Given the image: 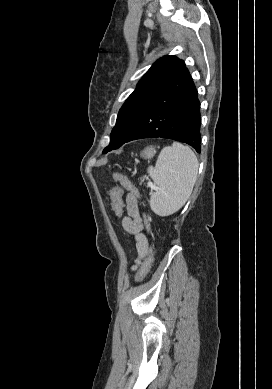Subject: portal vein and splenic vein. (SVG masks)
Instances as JSON below:
<instances>
[{"instance_id": "1", "label": "portal vein and splenic vein", "mask_w": 272, "mask_h": 389, "mask_svg": "<svg viewBox=\"0 0 272 389\" xmlns=\"http://www.w3.org/2000/svg\"><path fill=\"white\" fill-rule=\"evenodd\" d=\"M148 186L153 187V183H152V182H149V183H148Z\"/></svg>"}]
</instances>
